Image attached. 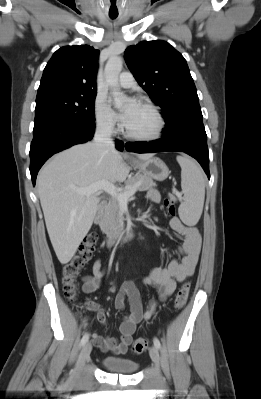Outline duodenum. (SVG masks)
<instances>
[{
	"instance_id": "410a0bca",
	"label": "duodenum",
	"mask_w": 261,
	"mask_h": 399,
	"mask_svg": "<svg viewBox=\"0 0 261 399\" xmlns=\"http://www.w3.org/2000/svg\"><path fill=\"white\" fill-rule=\"evenodd\" d=\"M95 219L98 223H102L104 219V210L103 207L100 206L95 213ZM135 237V231L133 227L129 226L127 227L124 231L121 233L117 234H110L106 238V245L107 246H112L118 241H123V240H131Z\"/></svg>"
}]
</instances>
